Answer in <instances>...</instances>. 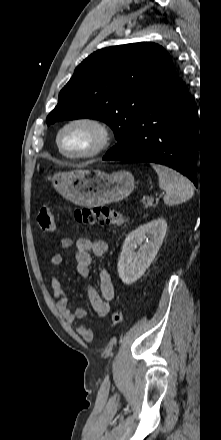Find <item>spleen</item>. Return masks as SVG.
<instances>
[{"label": "spleen", "instance_id": "1", "mask_svg": "<svg viewBox=\"0 0 221 440\" xmlns=\"http://www.w3.org/2000/svg\"><path fill=\"white\" fill-rule=\"evenodd\" d=\"M152 167L158 175L159 187L166 192V205H176L193 197V186L186 177L163 165L152 164Z\"/></svg>", "mask_w": 221, "mask_h": 440}]
</instances>
